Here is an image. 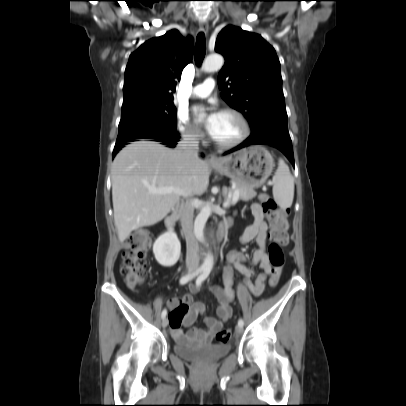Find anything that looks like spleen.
Here are the masks:
<instances>
[{"mask_svg": "<svg viewBox=\"0 0 406 406\" xmlns=\"http://www.w3.org/2000/svg\"><path fill=\"white\" fill-rule=\"evenodd\" d=\"M272 182L275 202L283 209L291 207L294 198V179L289 167L282 159H279Z\"/></svg>", "mask_w": 406, "mask_h": 406, "instance_id": "spleen-1", "label": "spleen"}]
</instances>
